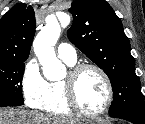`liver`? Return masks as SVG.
Wrapping results in <instances>:
<instances>
[{
    "label": "liver",
    "mask_w": 145,
    "mask_h": 124,
    "mask_svg": "<svg viewBox=\"0 0 145 124\" xmlns=\"http://www.w3.org/2000/svg\"><path fill=\"white\" fill-rule=\"evenodd\" d=\"M0 124H80V121L21 109H0Z\"/></svg>",
    "instance_id": "obj_1"
}]
</instances>
